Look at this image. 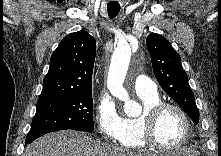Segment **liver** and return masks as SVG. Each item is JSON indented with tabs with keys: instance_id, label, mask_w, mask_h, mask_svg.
<instances>
[{
	"instance_id": "obj_1",
	"label": "liver",
	"mask_w": 221,
	"mask_h": 156,
	"mask_svg": "<svg viewBox=\"0 0 221 156\" xmlns=\"http://www.w3.org/2000/svg\"><path fill=\"white\" fill-rule=\"evenodd\" d=\"M190 154L187 150H183ZM24 156H150L93 140L83 132L57 131L28 145Z\"/></svg>"
}]
</instances>
